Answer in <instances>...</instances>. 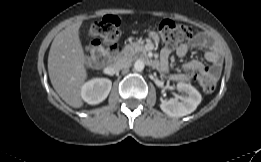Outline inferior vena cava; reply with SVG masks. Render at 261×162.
Returning a JSON list of instances; mask_svg holds the SVG:
<instances>
[{"instance_id": "1", "label": "inferior vena cava", "mask_w": 261, "mask_h": 162, "mask_svg": "<svg viewBox=\"0 0 261 162\" xmlns=\"http://www.w3.org/2000/svg\"><path fill=\"white\" fill-rule=\"evenodd\" d=\"M131 66V61L128 59H123L118 61L115 65L114 68L116 70H120V69H127Z\"/></svg>"}]
</instances>
